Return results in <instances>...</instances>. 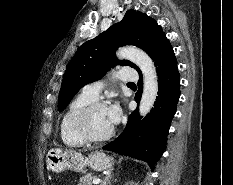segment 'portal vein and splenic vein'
<instances>
[{
    "label": "portal vein and splenic vein",
    "instance_id": "18ae733b",
    "mask_svg": "<svg viewBox=\"0 0 233 185\" xmlns=\"http://www.w3.org/2000/svg\"><path fill=\"white\" fill-rule=\"evenodd\" d=\"M100 182H101V179H99V178H96V179L93 180V184H94V185H97V184H99Z\"/></svg>",
    "mask_w": 233,
    "mask_h": 185
}]
</instances>
